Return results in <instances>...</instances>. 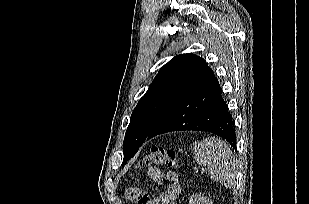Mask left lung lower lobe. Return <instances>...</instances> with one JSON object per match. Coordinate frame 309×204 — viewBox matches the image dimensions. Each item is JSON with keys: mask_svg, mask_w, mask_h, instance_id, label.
I'll use <instances>...</instances> for the list:
<instances>
[{"mask_svg": "<svg viewBox=\"0 0 309 204\" xmlns=\"http://www.w3.org/2000/svg\"><path fill=\"white\" fill-rule=\"evenodd\" d=\"M180 130L214 133L236 149L234 122L215 77L173 104L157 121L146 140Z\"/></svg>", "mask_w": 309, "mask_h": 204, "instance_id": "1", "label": "left lung lower lobe"}]
</instances>
